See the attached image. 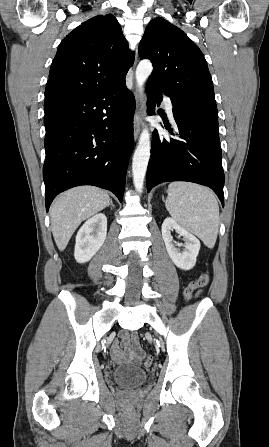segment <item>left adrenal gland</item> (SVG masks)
<instances>
[{"label": "left adrenal gland", "mask_w": 269, "mask_h": 447, "mask_svg": "<svg viewBox=\"0 0 269 447\" xmlns=\"http://www.w3.org/2000/svg\"><path fill=\"white\" fill-rule=\"evenodd\" d=\"M162 200H163V202H165V200H164V196H162Z\"/></svg>", "instance_id": "1"}]
</instances>
